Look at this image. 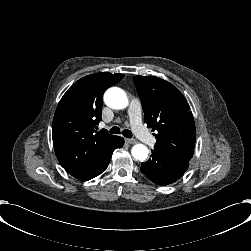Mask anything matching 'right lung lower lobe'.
<instances>
[{
	"label": "right lung lower lobe",
	"instance_id": "right-lung-lower-lobe-1",
	"mask_svg": "<svg viewBox=\"0 0 251 251\" xmlns=\"http://www.w3.org/2000/svg\"><path fill=\"white\" fill-rule=\"evenodd\" d=\"M124 144V139L121 137L119 139V142L117 144V148L122 147ZM116 148V149H117ZM112 154L110 155V157L108 158L107 161H105L98 169H96L95 171H93L92 173L88 174L87 176H85L84 178L80 179L81 181H88L96 176H98L99 174H101L102 172L105 171V169L107 168L109 161L111 159Z\"/></svg>",
	"mask_w": 251,
	"mask_h": 251
}]
</instances>
